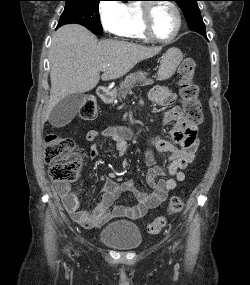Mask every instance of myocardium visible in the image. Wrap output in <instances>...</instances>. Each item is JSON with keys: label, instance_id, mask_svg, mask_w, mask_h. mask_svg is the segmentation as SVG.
Masks as SVG:
<instances>
[{"label": "myocardium", "instance_id": "myocardium-1", "mask_svg": "<svg viewBox=\"0 0 250 285\" xmlns=\"http://www.w3.org/2000/svg\"><path fill=\"white\" fill-rule=\"evenodd\" d=\"M160 3L166 4L169 7H171L177 18L176 29L173 32V34L168 38L158 37L154 33L152 28V12L154 7ZM140 9H141V23H142L143 33L148 39L158 43H170L178 36L182 28L183 20H182L181 11L174 2H172L171 0H162L161 2H144L143 4H141Z\"/></svg>", "mask_w": 250, "mask_h": 285}]
</instances>
